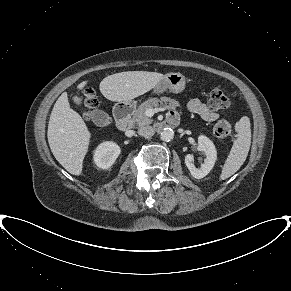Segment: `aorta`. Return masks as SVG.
Returning <instances> with one entry per match:
<instances>
[{
    "label": "aorta",
    "instance_id": "762f6f07",
    "mask_svg": "<svg viewBox=\"0 0 291 291\" xmlns=\"http://www.w3.org/2000/svg\"><path fill=\"white\" fill-rule=\"evenodd\" d=\"M160 138L163 141H171L174 138V131L171 128H165L161 134Z\"/></svg>",
    "mask_w": 291,
    "mask_h": 291
}]
</instances>
